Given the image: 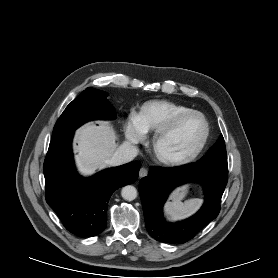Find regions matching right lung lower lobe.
<instances>
[{
    "label": "right lung lower lobe",
    "mask_w": 278,
    "mask_h": 278,
    "mask_svg": "<svg viewBox=\"0 0 278 278\" xmlns=\"http://www.w3.org/2000/svg\"><path fill=\"white\" fill-rule=\"evenodd\" d=\"M74 131L52 139L44 162L46 201L64 227L80 237L98 235L107 226L112 193L135 182L140 162L106 169L84 179L75 170L71 142Z\"/></svg>",
    "instance_id": "obj_1"
}]
</instances>
